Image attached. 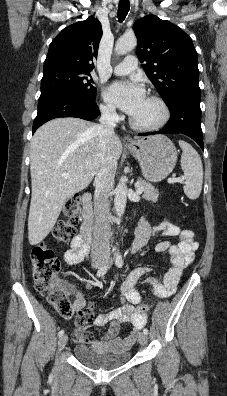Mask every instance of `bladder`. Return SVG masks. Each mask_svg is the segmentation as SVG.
Wrapping results in <instances>:
<instances>
[{"mask_svg":"<svg viewBox=\"0 0 227 396\" xmlns=\"http://www.w3.org/2000/svg\"><path fill=\"white\" fill-rule=\"evenodd\" d=\"M74 355L83 365L94 370H111L126 364L130 359L127 351L111 352L97 344H78Z\"/></svg>","mask_w":227,"mask_h":396,"instance_id":"1","label":"bladder"}]
</instances>
